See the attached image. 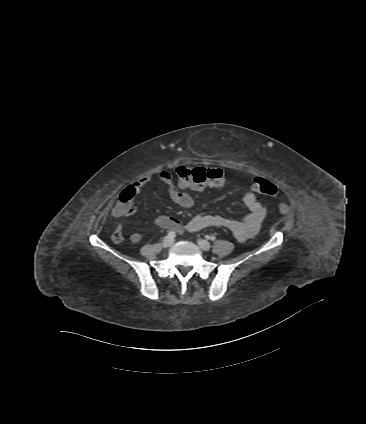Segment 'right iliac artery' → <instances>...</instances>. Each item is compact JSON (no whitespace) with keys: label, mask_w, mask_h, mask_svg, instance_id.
Wrapping results in <instances>:
<instances>
[{"label":"right iliac artery","mask_w":366,"mask_h":424,"mask_svg":"<svg viewBox=\"0 0 366 424\" xmlns=\"http://www.w3.org/2000/svg\"><path fill=\"white\" fill-rule=\"evenodd\" d=\"M168 236H170L172 238L175 237V232L174 231H169Z\"/></svg>","instance_id":"obj_1"}]
</instances>
